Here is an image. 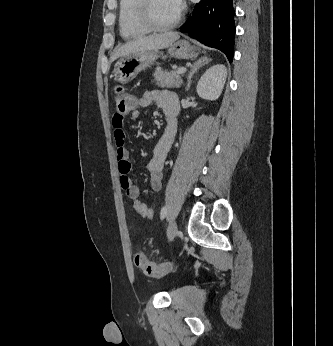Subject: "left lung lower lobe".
Wrapping results in <instances>:
<instances>
[{"instance_id":"0a47b994","label":"left lung lower lobe","mask_w":333,"mask_h":346,"mask_svg":"<svg viewBox=\"0 0 333 346\" xmlns=\"http://www.w3.org/2000/svg\"><path fill=\"white\" fill-rule=\"evenodd\" d=\"M234 18L233 0H201L180 31L221 50L232 62L236 32Z\"/></svg>"}]
</instances>
